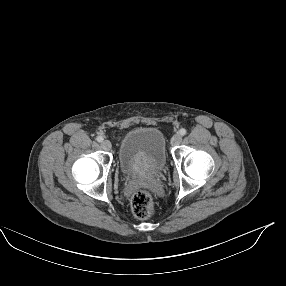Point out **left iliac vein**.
Returning a JSON list of instances; mask_svg holds the SVG:
<instances>
[{
	"label": "left iliac vein",
	"instance_id": "obj_1",
	"mask_svg": "<svg viewBox=\"0 0 286 286\" xmlns=\"http://www.w3.org/2000/svg\"><path fill=\"white\" fill-rule=\"evenodd\" d=\"M182 141V137L180 134H175L171 139V145H179Z\"/></svg>",
	"mask_w": 286,
	"mask_h": 286
}]
</instances>
